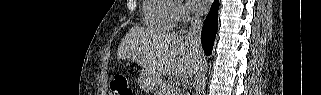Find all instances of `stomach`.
<instances>
[{"mask_svg":"<svg viewBox=\"0 0 321 95\" xmlns=\"http://www.w3.org/2000/svg\"><path fill=\"white\" fill-rule=\"evenodd\" d=\"M158 82V78L148 72L147 70L143 69L140 71V75L138 78V85L144 91H152L156 88Z\"/></svg>","mask_w":321,"mask_h":95,"instance_id":"stomach-1","label":"stomach"}]
</instances>
